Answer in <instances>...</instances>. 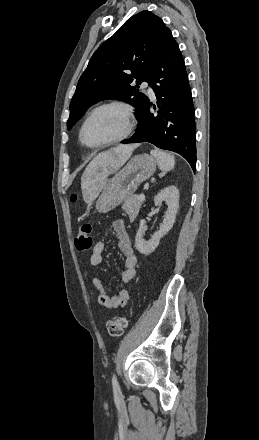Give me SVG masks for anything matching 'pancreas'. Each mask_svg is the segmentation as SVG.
<instances>
[{"label":"pancreas","instance_id":"cf45deb5","mask_svg":"<svg viewBox=\"0 0 259 440\" xmlns=\"http://www.w3.org/2000/svg\"><path fill=\"white\" fill-rule=\"evenodd\" d=\"M142 203L143 201H140L137 195H132L124 201L122 208L131 219H134L137 216Z\"/></svg>","mask_w":259,"mask_h":440}]
</instances>
